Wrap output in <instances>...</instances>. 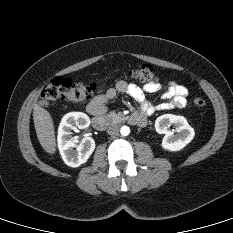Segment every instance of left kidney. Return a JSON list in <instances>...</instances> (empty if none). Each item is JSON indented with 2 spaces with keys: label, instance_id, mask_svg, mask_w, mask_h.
<instances>
[{
  "label": "left kidney",
  "instance_id": "5707ae66",
  "mask_svg": "<svg viewBox=\"0 0 233 233\" xmlns=\"http://www.w3.org/2000/svg\"><path fill=\"white\" fill-rule=\"evenodd\" d=\"M171 125H174L175 129L170 130ZM155 129L157 133L165 135L161 145L168 151H180L195 136L194 129L188 124L186 118L173 114L159 116L155 121Z\"/></svg>",
  "mask_w": 233,
  "mask_h": 233
}]
</instances>
